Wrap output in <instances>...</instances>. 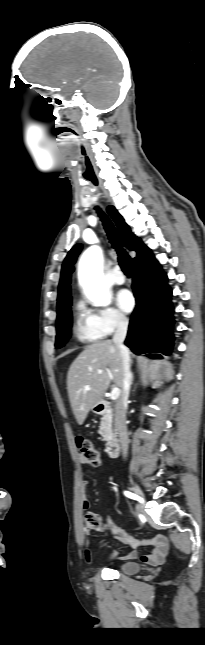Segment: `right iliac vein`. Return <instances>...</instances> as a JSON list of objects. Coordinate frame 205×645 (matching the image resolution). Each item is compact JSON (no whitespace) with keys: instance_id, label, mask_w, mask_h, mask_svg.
Wrapping results in <instances>:
<instances>
[{"instance_id":"right-iliac-vein-1","label":"right iliac vein","mask_w":205,"mask_h":645,"mask_svg":"<svg viewBox=\"0 0 205 645\" xmlns=\"http://www.w3.org/2000/svg\"><path fill=\"white\" fill-rule=\"evenodd\" d=\"M133 491H134V492H135V494H136V495H138V496L142 499V501H143V495H142V493H141L140 489L138 488V486L133 485ZM142 503H143V502H141V504H140V505H139V507H138V510H139L140 512H143V506H142Z\"/></svg>"}]
</instances>
